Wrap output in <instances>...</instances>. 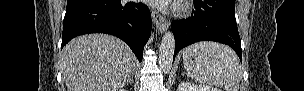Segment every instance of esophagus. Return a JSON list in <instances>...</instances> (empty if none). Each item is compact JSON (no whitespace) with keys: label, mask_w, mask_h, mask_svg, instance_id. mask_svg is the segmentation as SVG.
Returning <instances> with one entry per match:
<instances>
[{"label":"esophagus","mask_w":304,"mask_h":91,"mask_svg":"<svg viewBox=\"0 0 304 91\" xmlns=\"http://www.w3.org/2000/svg\"><path fill=\"white\" fill-rule=\"evenodd\" d=\"M151 13L159 33L165 32L169 27V21L164 16L159 14L155 9H152Z\"/></svg>","instance_id":"1"}]
</instances>
